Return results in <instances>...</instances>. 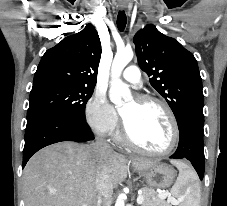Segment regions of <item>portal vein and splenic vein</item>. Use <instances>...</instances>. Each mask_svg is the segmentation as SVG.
Listing matches in <instances>:
<instances>
[{
    "mask_svg": "<svg viewBox=\"0 0 227 206\" xmlns=\"http://www.w3.org/2000/svg\"><path fill=\"white\" fill-rule=\"evenodd\" d=\"M159 197H160L161 199H165L166 197H169V199H170V201H171L172 203H178V201H176L175 199L171 198V197H170V194H168V193H160V194H159ZM143 201H144V198H143V196H142V191H139V192H138V197H137V203L140 205V204L143 203ZM83 206H86V205H83Z\"/></svg>",
    "mask_w": 227,
    "mask_h": 206,
    "instance_id": "18ae733b",
    "label": "portal vein and splenic vein"
}]
</instances>
